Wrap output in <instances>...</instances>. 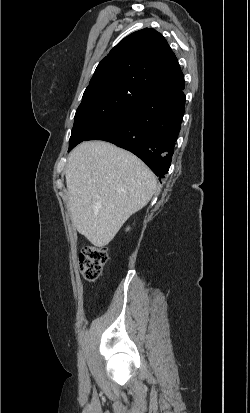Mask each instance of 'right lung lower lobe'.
Masks as SVG:
<instances>
[{"instance_id":"98d812e1","label":"right lung lower lobe","mask_w":250,"mask_h":413,"mask_svg":"<svg viewBox=\"0 0 250 413\" xmlns=\"http://www.w3.org/2000/svg\"><path fill=\"white\" fill-rule=\"evenodd\" d=\"M184 83L139 95L86 140H104L144 161L159 177L168 172L185 111Z\"/></svg>"}]
</instances>
